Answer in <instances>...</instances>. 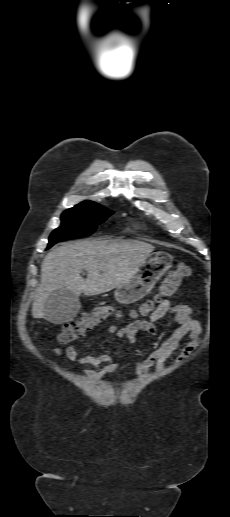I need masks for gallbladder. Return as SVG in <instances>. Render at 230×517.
Instances as JSON below:
<instances>
[{
  "mask_svg": "<svg viewBox=\"0 0 230 517\" xmlns=\"http://www.w3.org/2000/svg\"><path fill=\"white\" fill-rule=\"evenodd\" d=\"M80 307L79 299L67 290L54 291L44 305L46 319L57 324L73 319Z\"/></svg>",
  "mask_w": 230,
  "mask_h": 517,
  "instance_id": "bac80fb5",
  "label": "gallbladder"
}]
</instances>
